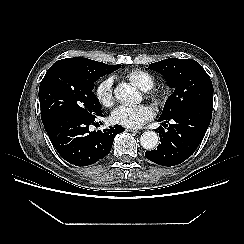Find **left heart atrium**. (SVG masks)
<instances>
[{
    "label": "left heart atrium",
    "instance_id": "1",
    "mask_svg": "<svg viewBox=\"0 0 244 244\" xmlns=\"http://www.w3.org/2000/svg\"><path fill=\"white\" fill-rule=\"evenodd\" d=\"M153 117V111L146 105H121L111 114L114 123L128 128H139Z\"/></svg>",
    "mask_w": 244,
    "mask_h": 244
}]
</instances>
